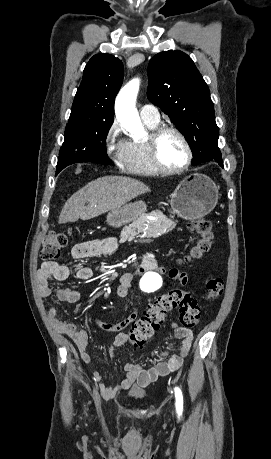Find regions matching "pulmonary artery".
Instances as JSON below:
<instances>
[{"instance_id":"1","label":"pulmonary artery","mask_w":271,"mask_h":459,"mask_svg":"<svg viewBox=\"0 0 271 459\" xmlns=\"http://www.w3.org/2000/svg\"><path fill=\"white\" fill-rule=\"evenodd\" d=\"M140 116L144 121H148L153 124L160 122V113L157 107L151 104L142 106L139 110Z\"/></svg>"}]
</instances>
